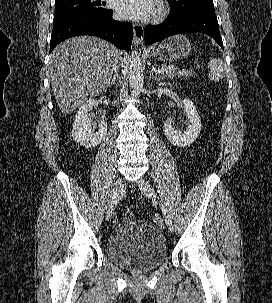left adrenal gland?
<instances>
[{
  "mask_svg": "<svg viewBox=\"0 0 272 303\" xmlns=\"http://www.w3.org/2000/svg\"><path fill=\"white\" fill-rule=\"evenodd\" d=\"M151 76L152 77L154 76L153 72L151 73ZM154 79H156V80L159 81V80L163 79V77H161V76H159V77L155 76Z\"/></svg>",
  "mask_w": 272,
  "mask_h": 303,
  "instance_id": "a2214340",
  "label": "left adrenal gland"
}]
</instances>
